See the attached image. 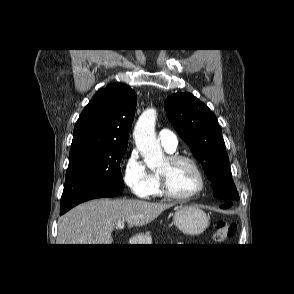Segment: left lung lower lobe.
<instances>
[{
    "label": "left lung lower lobe",
    "mask_w": 294,
    "mask_h": 294,
    "mask_svg": "<svg viewBox=\"0 0 294 294\" xmlns=\"http://www.w3.org/2000/svg\"><path fill=\"white\" fill-rule=\"evenodd\" d=\"M231 205H232V203L230 201H228V202H226L224 205H222L220 207L226 209V208L231 207Z\"/></svg>",
    "instance_id": "left-lung-lower-lobe-1"
}]
</instances>
